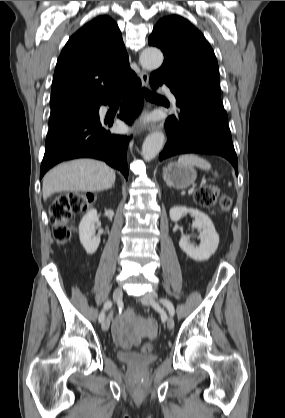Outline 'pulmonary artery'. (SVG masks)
Instances as JSON below:
<instances>
[{"instance_id":"obj_1","label":"pulmonary artery","mask_w":285,"mask_h":418,"mask_svg":"<svg viewBox=\"0 0 285 418\" xmlns=\"http://www.w3.org/2000/svg\"><path fill=\"white\" fill-rule=\"evenodd\" d=\"M162 91L166 94V96L169 98V99H174L175 98V96H174V93L169 89V88H167V87H162Z\"/></svg>"}]
</instances>
